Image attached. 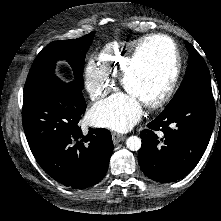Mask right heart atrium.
Instances as JSON below:
<instances>
[{
  "label": "right heart atrium",
  "instance_id": "d8ad5b80",
  "mask_svg": "<svg viewBox=\"0 0 221 221\" xmlns=\"http://www.w3.org/2000/svg\"><path fill=\"white\" fill-rule=\"evenodd\" d=\"M86 87L92 100L103 98L110 90L108 77L95 63H88L85 69Z\"/></svg>",
  "mask_w": 221,
  "mask_h": 221
}]
</instances>
